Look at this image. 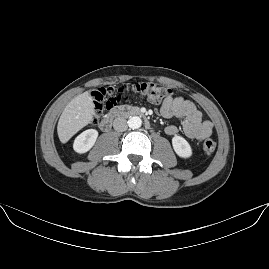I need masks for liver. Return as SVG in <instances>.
Instances as JSON below:
<instances>
[{"mask_svg": "<svg viewBox=\"0 0 269 269\" xmlns=\"http://www.w3.org/2000/svg\"><path fill=\"white\" fill-rule=\"evenodd\" d=\"M94 114V103L88 91L72 99L65 107L58 122L57 132L60 141L66 143L93 120Z\"/></svg>", "mask_w": 269, "mask_h": 269, "instance_id": "1", "label": "liver"}]
</instances>
